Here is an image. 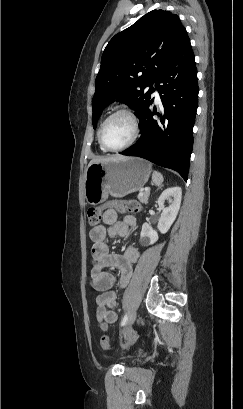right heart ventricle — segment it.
I'll return each instance as SVG.
<instances>
[{
  "label": "right heart ventricle",
  "mask_w": 243,
  "mask_h": 409,
  "mask_svg": "<svg viewBox=\"0 0 243 409\" xmlns=\"http://www.w3.org/2000/svg\"><path fill=\"white\" fill-rule=\"evenodd\" d=\"M99 146H100V149L103 151V152H106V150L99 144Z\"/></svg>",
  "instance_id": "obj_1"
}]
</instances>
